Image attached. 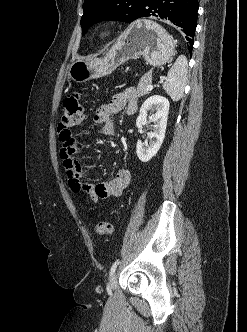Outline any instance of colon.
I'll use <instances>...</instances> for the list:
<instances>
[{
    "instance_id": "obj_1",
    "label": "colon",
    "mask_w": 247,
    "mask_h": 332,
    "mask_svg": "<svg viewBox=\"0 0 247 332\" xmlns=\"http://www.w3.org/2000/svg\"><path fill=\"white\" fill-rule=\"evenodd\" d=\"M84 120V106L82 95L79 93L68 96L64 101V111L58 123V133L63 144L73 141L72 129L80 126ZM112 224L101 221L96 225V233L106 237L112 233Z\"/></svg>"
}]
</instances>
